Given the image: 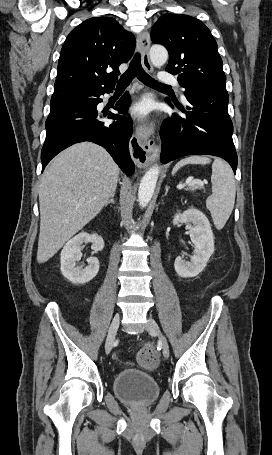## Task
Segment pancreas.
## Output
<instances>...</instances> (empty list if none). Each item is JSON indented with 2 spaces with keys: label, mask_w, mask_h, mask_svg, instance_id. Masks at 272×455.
I'll return each instance as SVG.
<instances>
[{
  "label": "pancreas",
  "mask_w": 272,
  "mask_h": 455,
  "mask_svg": "<svg viewBox=\"0 0 272 455\" xmlns=\"http://www.w3.org/2000/svg\"><path fill=\"white\" fill-rule=\"evenodd\" d=\"M190 189H191L192 191H194V190H196V189H201V187H200V186H194V187H191Z\"/></svg>",
  "instance_id": "obj_1"
}]
</instances>
